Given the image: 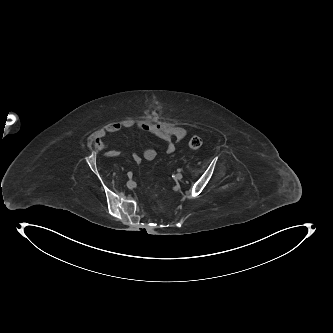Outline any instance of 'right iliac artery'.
Here are the masks:
<instances>
[{
  "instance_id": "obj_1",
  "label": "right iliac artery",
  "mask_w": 333,
  "mask_h": 333,
  "mask_svg": "<svg viewBox=\"0 0 333 333\" xmlns=\"http://www.w3.org/2000/svg\"><path fill=\"white\" fill-rule=\"evenodd\" d=\"M127 175H128L129 178H131L133 173L130 171V172L127 173Z\"/></svg>"
}]
</instances>
